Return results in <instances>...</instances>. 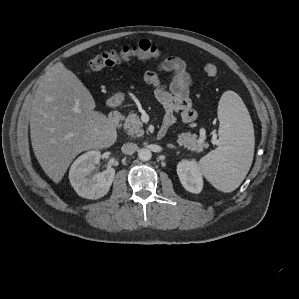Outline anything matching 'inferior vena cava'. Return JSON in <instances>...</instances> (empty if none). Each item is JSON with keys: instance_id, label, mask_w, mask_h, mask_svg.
I'll return each mask as SVG.
<instances>
[{"instance_id": "1", "label": "inferior vena cava", "mask_w": 299, "mask_h": 299, "mask_svg": "<svg viewBox=\"0 0 299 299\" xmlns=\"http://www.w3.org/2000/svg\"><path fill=\"white\" fill-rule=\"evenodd\" d=\"M138 149L137 144L135 143H125L122 145V152L127 155L133 154Z\"/></svg>"}]
</instances>
